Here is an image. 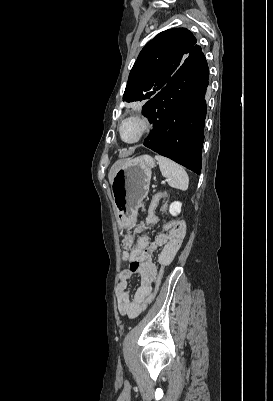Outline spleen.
<instances>
[{
  "label": "spleen",
  "instance_id": "1",
  "mask_svg": "<svg viewBox=\"0 0 273 401\" xmlns=\"http://www.w3.org/2000/svg\"><path fill=\"white\" fill-rule=\"evenodd\" d=\"M156 160L159 162L160 170L163 176L169 178L168 184L174 186V188H181V190H187L189 184V176L184 170L183 166L173 162L170 158L166 156H160V154H155Z\"/></svg>",
  "mask_w": 273,
  "mask_h": 401
}]
</instances>
